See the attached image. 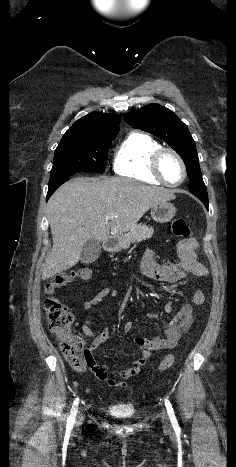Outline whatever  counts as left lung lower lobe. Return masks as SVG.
<instances>
[{
	"label": "left lung lower lobe",
	"instance_id": "left-lung-lower-lobe-1",
	"mask_svg": "<svg viewBox=\"0 0 236 467\" xmlns=\"http://www.w3.org/2000/svg\"><path fill=\"white\" fill-rule=\"evenodd\" d=\"M193 195H195L197 198H199L203 204L205 205L206 209L208 210V205H209V202H208V195H207V192H204V193H200V192H191Z\"/></svg>",
	"mask_w": 236,
	"mask_h": 467
}]
</instances>
